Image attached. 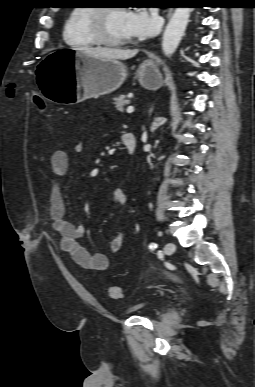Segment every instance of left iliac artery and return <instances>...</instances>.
I'll list each match as a JSON object with an SVG mask.
<instances>
[{"label":"left iliac artery","mask_w":255,"mask_h":387,"mask_svg":"<svg viewBox=\"0 0 255 387\" xmlns=\"http://www.w3.org/2000/svg\"><path fill=\"white\" fill-rule=\"evenodd\" d=\"M149 248H150L151 250H154V249L157 248V244H156V243H151V244L149 245Z\"/></svg>","instance_id":"left-iliac-artery-1"}]
</instances>
